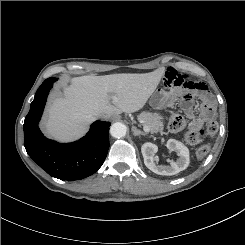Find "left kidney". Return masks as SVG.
<instances>
[{"label": "left kidney", "instance_id": "1", "mask_svg": "<svg viewBox=\"0 0 245 245\" xmlns=\"http://www.w3.org/2000/svg\"><path fill=\"white\" fill-rule=\"evenodd\" d=\"M166 147L170 151H175L179 158L176 161H171L169 166H160L155 162L157 160V157L155 156L158 151L157 145L151 142L144 143L141 147V152L145 166L158 175L167 176L175 175L180 171L185 170L189 165L188 148L175 139H169Z\"/></svg>", "mask_w": 245, "mask_h": 245}]
</instances>
